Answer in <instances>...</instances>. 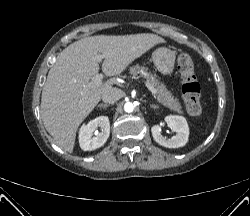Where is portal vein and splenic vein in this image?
<instances>
[{
    "label": "portal vein and splenic vein",
    "instance_id": "1",
    "mask_svg": "<svg viewBox=\"0 0 250 216\" xmlns=\"http://www.w3.org/2000/svg\"><path fill=\"white\" fill-rule=\"evenodd\" d=\"M96 59L98 62H101L103 59L102 55H97ZM102 80H103V74H96L93 78H92V83L94 85H101L102 84ZM145 86L148 88V90L155 96L157 95V90L150 85L148 82H144Z\"/></svg>",
    "mask_w": 250,
    "mask_h": 216
}]
</instances>
